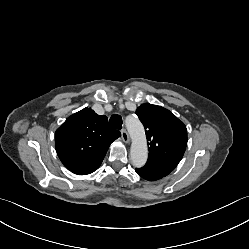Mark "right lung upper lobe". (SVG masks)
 <instances>
[{"instance_id": "1", "label": "right lung upper lobe", "mask_w": 249, "mask_h": 249, "mask_svg": "<svg viewBox=\"0 0 249 249\" xmlns=\"http://www.w3.org/2000/svg\"><path fill=\"white\" fill-rule=\"evenodd\" d=\"M106 116L84 108L71 115L55 132L56 152L71 172L86 175L102 163L110 144L120 137Z\"/></svg>"}]
</instances>
